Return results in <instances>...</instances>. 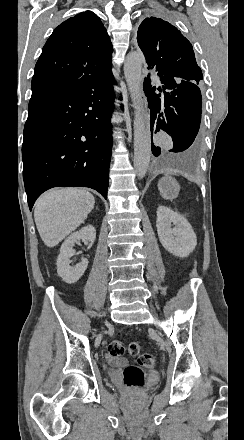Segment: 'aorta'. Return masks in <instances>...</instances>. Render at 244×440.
<instances>
[{"label":"aorta","mask_w":244,"mask_h":440,"mask_svg":"<svg viewBox=\"0 0 244 440\" xmlns=\"http://www.w3.org/2000/svg\"><path fill=\"white\" fill-rule=\"evenodd\" d=\"M143 62V54L139 51H134L127 55L124 63V75L135 108L134 168L139 178H143L147 173L151 156V141L139 104L141 99V71Z\"/></svg>","instance_id":"obj_1"}]
</instances>
